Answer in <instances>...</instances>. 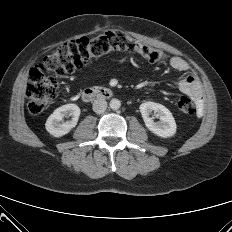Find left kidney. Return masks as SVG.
Instances as JSON below:
<instances>
[{"instance_id": "obj_1", "label": "left kidney", "mask_w": 232, "mask_h": 232, "mask_svg": "<svg viewBox=\"0 0 232 232\" xmlns=\"http://www.w3.org/2000/svg\"><path fill=\"white\" fill-rule=\"evenodd\" d=\"M139 109L146 127L152 133L162 138H168L175 135L177 128L175 119L172 113L165 106L149 101L142 103ZM152 111H154L160 121H153V119L149 116Z\"/></svg>"}]
</instances>
